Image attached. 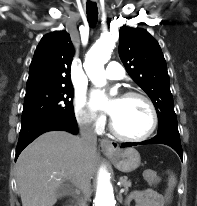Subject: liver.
Instances as JSON below:
<instances>
[{
    "label": "liver",
    "mask_w": 197,
    "mask_h": 206,
    "mask_svg": "<svg viewBox=\"0 0 197 206\" xmlns=\"http://www.w3.org/2000/svg\"><path fill=\"white\" fill-rule=\"evenodd\" d=\"M97 162L96 149L84 152L81 138L65 131L39 136L20 154L16 182L22 206H53L66 193L64 183H90Z\"/></svg>",
    "instance_id": "liver-1"
}]
</instances>
